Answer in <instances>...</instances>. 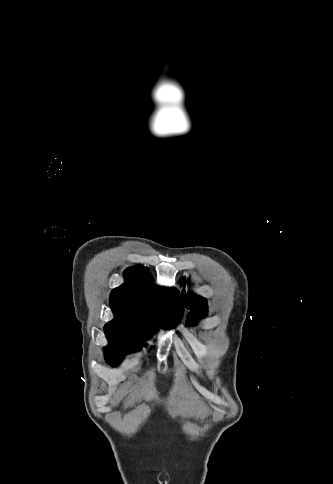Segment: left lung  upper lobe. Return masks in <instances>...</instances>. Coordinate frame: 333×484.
Instances as JSON below:
<instances>
[{
  "instance_id": "left-lung-upper-lobe-1",
  "label": "left lung upper lobe",
  "mask_w": 333,
  "mask_h": 484,
  "mask_svg": "<svg viewBox=\"0 0 333 484\" xmlns=\"http://www.w3.org/2000/svg\"><path fill=\"white\" fill-rule=\"evenodd\" d=\"M184 280H182V284ZM184 302L188 309H191L189 314V323H192L191 318L193 316L205 317L207 314V301L205 298L196 296L192 292L184 293Z\"/></svg>"
}]
</instances>
